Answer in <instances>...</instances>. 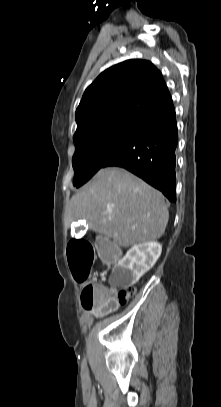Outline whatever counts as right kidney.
Listing matches in <instances>:
<instances>
[{
    "label": "right kidney",
    "mask_w": 221,
    "mask_h": 407,
    "mask_svg": "<svg viewBox=\"0 0 221 407\" xmlns=\"http://www.w3.org/2000/svg\"><path fill=\"white\" fill-rule=\"evenodd\" d=\"M161 252L162 245L155 241L132 246L114 269L119 283L123 287L137 283L154 266Z\"/></svg>",
    "instance_id": "ca27d5eb"
}]
</instances>
